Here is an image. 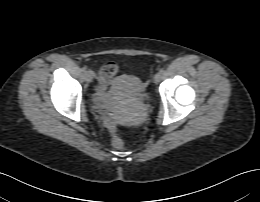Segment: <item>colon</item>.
Returning a JSON list of instances; mask_svg holds the SVG:
<instances>
[{
    "label": "colon",
    "mask_w": 260,
    "mask_h": 202,
    "mask_svg": "<svg viewBox=\"0 0 260 202\" xmlns=\"http://www.w3.org/2000/svg\"><path fill=\"white\" fill-rule=\"evenodd\" d=\"M116 73V65L112 61L104 63L99 69V75L105 81L111 79ZM112 148L115 150H122L125 147L121 134L115 135L111 140Z\"/></svg>",
    "instance_id": "5ec220e1"
}]
</instances>
